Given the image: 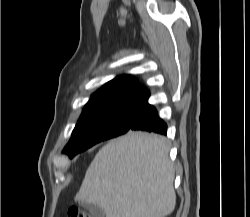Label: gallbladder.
Returning a JSON list of instances; mask_svg holds the SVG:
<instances>
[{
	"mask_svg": "<svg viewBox=\"0 0 250 217\" xmlns=\"http://www.w3.org/2000/svg\"><path fill=\"white\" fill-rule=\"evenodd\" d=\"M79 205L88 210L91 214V217H105L104 211L97 205L87 202H80Z\"/></svg>",
	"mask_w": 250,
	"mask_h": 217,
	"instance_id": "bac80fb5",
	"label": "gallbladder"
}]
</instances>
